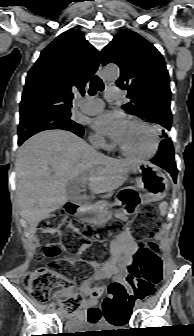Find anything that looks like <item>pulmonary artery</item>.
Returning <instances> with one entry per match:
<instances>
[{"instance_id": "obj_1", "label": "pulmonary artery", "mask_w": 194, "mask_h": 336, "mask_svg": "<svg viewBox=\"0 0 194 336\" xmlns=\"http://www.w3.org/2000/svg\"><path fill=\"white\" fill-rule=\"evenodd\" d=\"M119 91L116 87H108L105 92V98L109 101L117 99ZM78 106L81 113L92 115L100 112L104 107V102L99 98L78 99Z\"/></svg>"}]
</instances>
